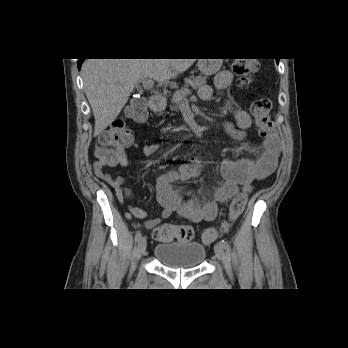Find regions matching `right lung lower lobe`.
Instances as JSON below:
<instances>
[{"label": "right lung lower lobe", "instance_id": "obj_1", "mask_svg": "<svg viewBox=\"0 0 348 348\" xmlns=\"http://www.w3.org/2000/svg\"><path fill=\"white\" fill-rule=\"evenodd\" d=\"M84 60H85V59H79V61H78V69H79V70H80L81 65H82V63H83Z\"/></svg>", "mask_w": 348, "mask_h": 348}]
</instances>
